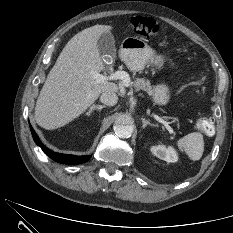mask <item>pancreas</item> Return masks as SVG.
Masks as SVG:
<instances>
[{"label": "pancreas", "instance_id": "cf45deb5", "mask_svg": "<svg viewBox=\"0 0 233 233\" xmlns=\"http://www.w3.org/2000/svg\"><path fill=\"white\" fill-rule=\"evenodd\" d=\"M133 85L136 90H144L150 96H153L154 94V88L149 80H145L144 78H137Z\"/></svg>", "mask_w": 233, "mask_h": 233}]
</instances>
